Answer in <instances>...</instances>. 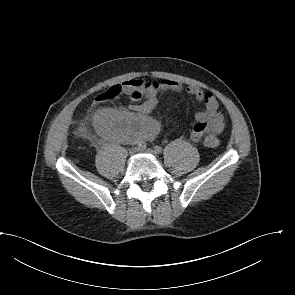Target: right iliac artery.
<instances>
[{
	"mask_svg": "<svg viewBox=\"0 0 295 295\" xmlns=\"http://www.w3.org/2000/svg\"><path fill=\"white\" fill-rule=\"evenodd\" d=\"M145 144L142 142H140L137 146H136V149L137 150H141V149H143L145 146H144Z\"/></svg>",
	"mask_w": 295,
	"mask_h": 295,
	"instance_id": "right-iliac-artery-1",
	"label": "right iliac artery"
}]
</instances>
